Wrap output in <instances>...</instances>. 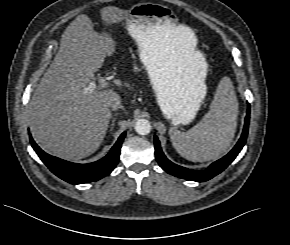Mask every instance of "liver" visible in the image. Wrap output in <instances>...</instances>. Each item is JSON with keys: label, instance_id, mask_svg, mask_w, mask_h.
<instances>
[{"label": "liver", "instance_id": "liver-1", "mask_svg": "<svg viewBox=\"0 0 290 245\" xmlns=\"http://www.w3.org/2000/svg\"><path fill=\"white\" fill-rule=\"evenodd\" d=\"M101 17L106 26L124 18L112 8L104 9ZM182 29L176 28L169 36L175 37ZM170 42L180 67L198 53L191 42ZM115 50L111 35L95 32L87 15L78 16L67 27L58 54L35 89L28 110L32 134L45 150L80 160L101 145L112 116L110 103L120 96L113 89L87 88L95 83V73L105 57L113 56Z\"/></svg>", "mask_w": 290, "mask_h": 245}]
</instances>
